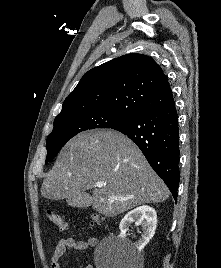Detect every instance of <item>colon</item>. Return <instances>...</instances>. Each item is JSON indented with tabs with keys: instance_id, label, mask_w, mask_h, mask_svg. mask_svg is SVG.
Listing matches in <instances>:
<instances>
[{
	"instance_id": "5ec220e1",
	"label": "colon",
	"mask_w": 221,
	"mask_h": 268,
	"mask_svg": "<svg viewBox=\"0 0 221 268\" xmlns=\"http://www.w3.org/2000/svg\"><path fill=\"white\" fill-rule=\"evenodd\" d=\"M47 218L51 221V223L56 226L59 230L64 231L68 229V223L57 213L47 210L46 211ZM103 223V219L99 216L95 215L91 219V225H100Z\"/></svg>"
}]
</instances>
